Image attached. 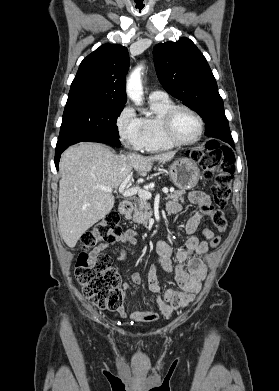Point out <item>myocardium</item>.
Masks as SVG:
<instances>
[{
  "label": "myocardium",
  "mask_w": 279,
  "mask_h": 391,
  "mask_svg": "<svg viewBox=\"0 0 279 391\" xmlns=\"http://www.w3.org/2000/svg\"><path fill=\"white\" fill-rule=\"evenodd\" d=\"M179 110H186V111L190 112L197 119V121L199 123L198 135L196 136V138H194L191 141H181L175 136L174 118H175L176 113ZM162 126H163V130H164V134H165L166 139L175 146H189V145H193V144L197 143L201 139V137L204 133V129H205V124H204V120H203L202 116L194 108H192L188 105H185V104H173L164 113V115L162 117Z\"/></svg>",
  "instance_id": "obj_1"
}]
</instances>
